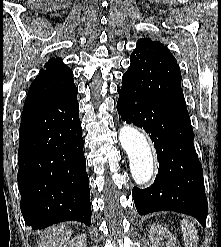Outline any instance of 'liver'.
Returning a JSON list of instances; mask_svg holds the SVG:
<instances>
[{
	"mask_svg": "<svg viewBox=\"0 0 221 247\" xmlns=\"http://www.w3.org/2000/svg\"><path fill=\"white\" fill-rule=\"evenodd\" d=\"M72 235V230L65 226H53L40 233L38 247H61Z\"/></svg>",
	"mask_w": 221,
	"mask_h": 247,
	"instance_id": "1",
	"label": "liver"
}]
</instances>
